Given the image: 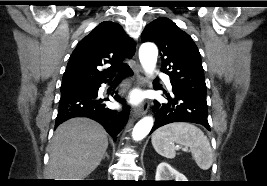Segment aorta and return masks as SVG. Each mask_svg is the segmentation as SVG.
<instances>
[{
    "mask_svg": "<svg viewBox=\"0 0 267 186\" xmlns=\"http://www.w3.org/2000/svg\"><path fill=\"white\" fill-rule=\"evenodd\" d=\"M158 50L153 43H144L139 49V59L142 67L148 74H152L157 62ZM153 118L144 117L134 127L132 136L134 140L145 138L153 127Z\"/></svg>",
    "mask_w": 267,
    "mask_h": 186,
    "instance_id": "762f6f07",
    "label": "aorta"
}]
</instances>
